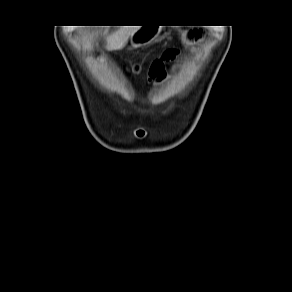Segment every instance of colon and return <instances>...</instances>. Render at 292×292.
<instances>
[{"label": "colon", "mask_w": 292, "mask_h": 292, "mask_svg": "<svg viewBox=\"0 0 292 292\" xmlns=\"http://www.w3.org/2000/svg\"><path fill=\"white\" fill-rule=\"evenodd\" d=\"M175 52L174 51H169L166 55H165V59L169 60L172 59L174 57ZM162 63L160 61H157L153 64L152 66V70H151V74L152 75H157L161 69Z\"/></svg>", "instance_id": "obj_1"}]
</instances>
